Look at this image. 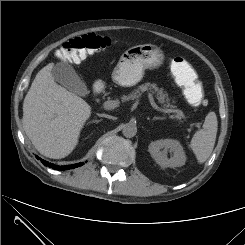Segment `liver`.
Here are the masks:
<instances>
[{"mask_svg": "<svg viewBox=\"0 0 245 245\" xmlns=\"http://www.w3.org/2000/svg\"><path fill=\"white\" fill-rule=\"evenodd\" d=\"M53 66L43 67L33 80L23 102L22 121L35 148L46 157L60 159L75 149L91 107L54 81Z\"/></svg>", "mask_w": 245, "mask_h": 245, "instance_id": "liver-1", "label": "liver"}]
</instances>
